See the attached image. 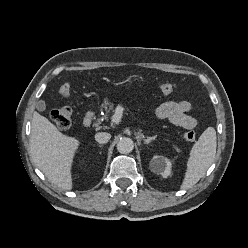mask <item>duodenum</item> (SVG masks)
I'll return each mask as SVG.
<instances>
[{"label":"duodenum","instance_id":"410a0bca","mask_svg":"<svg viewBox=\"0 0 248 248\" xmlns=\"http://www.w3.org/2000/svg\"><path fill=\"white\" fill-rule=\"evenodd\" d=\"M94 119L95 115L93 111L86 112L82 120L83 127H89L93 123Z\"/></svg>","mask_w":248,"mask_h":248}]
</instances>
